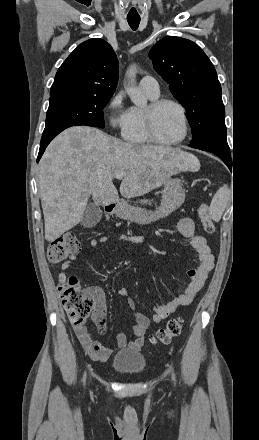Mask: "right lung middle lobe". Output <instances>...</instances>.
I'll return each mask as SVG.
<instances>
[{"label":"right lung middle lobe","mask_w":259,"mask_h":440,"mask_svg":"<svg viewBox=\"0 0 259 440\" xmlns=\"http://www.w3.org/2000/svg\"><path fill=\"white\" fill-rule=\"evenodd\" d=\"M112 95L63 92L50 95L44 132L67 124L104 128L103 109Z\"/></svg>","instance_id":"obj_1"}]
</instances>
